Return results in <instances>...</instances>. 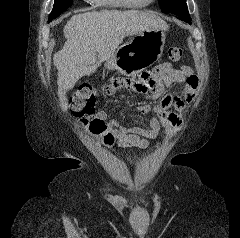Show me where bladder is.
Returning <instances> with one entry per match:
<instances>
[{"mask_svg":"<svg viewBox=\"0 0 240 238\" xmlns=\"http://www.w3.org/2000/svg\"><path fill=\"white\" fill-rule=\"evenodd\" d=\"M126 161H127L129 164H134L135 161H136V157L128 156V157L126 158Z\"/></svg>","mask_w":240,"mask_h":238,"instance_id":"1","label":"bladder"}]
</instances>
